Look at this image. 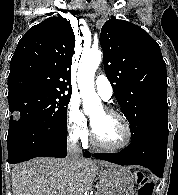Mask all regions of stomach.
Listing matches in <instances>:
<instances>
[{
    "label": "stomach",
    "mask_w": 178,
    "mask_h": 195,
    "mask_svg": "<svg viewBox=\"0 0 178 195\" xmlns=\"http://www.w3.org/2000/svg\"><path fill=\"white\" fill-rule=\"evenodd\" d=\"M99 195H135V175L127 167L112 165L101 168Z\"/></svg>",
    "instance_id": "1"
}]
</instances>
